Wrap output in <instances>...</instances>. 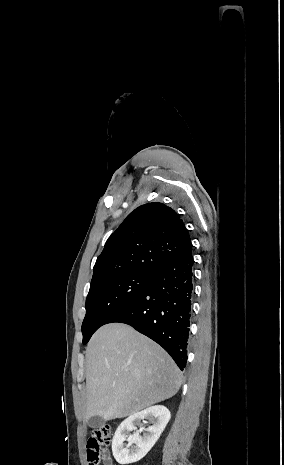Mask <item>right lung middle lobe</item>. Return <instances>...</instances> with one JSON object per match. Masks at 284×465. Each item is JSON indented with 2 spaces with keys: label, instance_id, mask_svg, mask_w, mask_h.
I'll return each mask as SVG.
<instances>
[{
  "label": "right lung middle lobe",
  "instance_id": "1",
  "mask_svg": "<svg viewBox=\"0 0 284 465\" xmlns=\"http://www.w3.org/2000/svg\"><path fill=\"white\" fill-rule=\"evenodd\" d=\"M153 276L126 274L108 278L90 286L86 298V315L82 323L83 344L93 333L130 303L150 282Z\"/></svg>",
  "mask_w": 284,
  "mask_h": 465
}]
</instances>
